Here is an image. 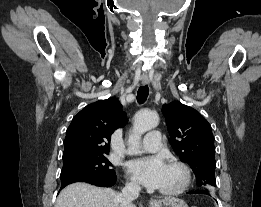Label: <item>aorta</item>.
<instances>
[{
  "instance_id": "1",
  "label": "aorta",
  "mask_w": 261,
  "mask_h": 207,
  "mask_svg": "<svg viewBox=\"0 0 261 207\" xmlns=\"http://www.w3.org/2000/svg\"><path fill=\"white\" fill-rule=\"evenodd\" d=\"M159 124V116L155 112L150 111H139L134 116L132 134L129 136V143L137 145L141 139V136L157 127Z\"/></svg>"
}]
</instances>
